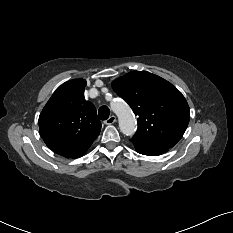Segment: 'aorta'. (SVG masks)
<instances>
[{
  "instance_id": "aorta-1",
  "label": "aorta",
  "mask_w": 233,
  "mask_h": 233,
  "mask_svg": "<svg viewBox=\"0 0 233 233\" xmlns=\"http://www.w3.org/2000/svg\"><path fill=\"white\" fill-rule=\"evenodd\" d=\"M111 107L118 116L120 131L126 136L134 135L137 129V122L129 105L122 100H116Z\"/></svg>"
}]
</instances>
